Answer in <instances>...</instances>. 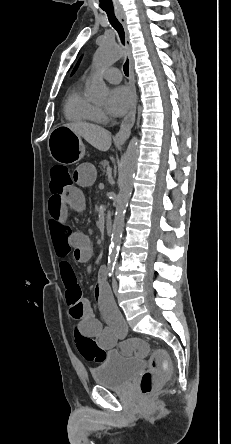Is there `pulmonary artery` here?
Instances as JSON below:
<instances>
[{
	"instance_id": "obj_1",
	"label": "pulmonary artery",
	"mask_w": 231,
	"mask_h": 444,
	"mask_svg": "<svg viewBox=\"0 0 231 444\" xmlns=\"http://www.w3.org/2000/svg\"><path fill=\"white\" fill-rule=\"evenodd\" d=\"M103 77L110 83H119L122 79L120 70L114 67L105 70Z\"/></svg>"
}]
</instances>
